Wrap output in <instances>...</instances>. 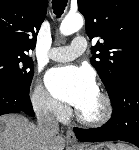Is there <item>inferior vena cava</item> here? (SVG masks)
Segmentation results:
<instances>
[{
  "label": "inferior vena cava",
  "mask_w": 139,
  "mask_h": 150,
  "mask_svg": "<svg viewBox=\"0 0 139 150\" xmlns=\"http://www.w3.org/2000/svg\"><path fill=\"white\" fill-rule=\"evenodd\" d=\"M42 107L37 115V127L41 136L50 140L59 132L58 122L53 116L54 103L47 97L41 99Z\"/></svg>",
  "instance_id": "obj_1"
}]
</instances>
